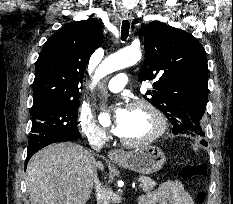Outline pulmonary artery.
<instances>
[{
    "label": "pulmonary artery",
    "instance_id": "e3ab8cb5",
    "mask_svg": "<svg viewBox=\"0 0 233 204\" xmlns=\"http://www.w3.org/2000/svg\"><path fill=\"white\" fill-rule=\"evenodd\" d=\"M128 83V76L124 73L115 75L107 84V89L113 93L120 92Z\"/></svg>",
    "mask_w": 233,
    "mask_h": 204
}]
</instances>
